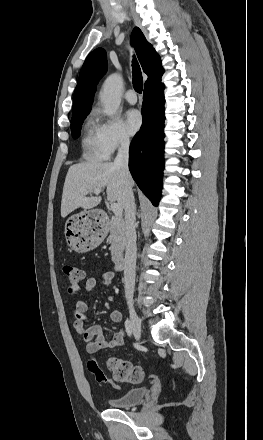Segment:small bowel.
Instances as JSON below:
<instances>
[{
    "mask_svg": "<svg viewBox=\"0 0 263 440\" xmlns=\"http://www.w3.org/2000/svg\"><path fill=\"white\" fill-rule=\"evenodd\" d=\"M115 273L108 271L102 274L101 283L106 287H111L114 283ZM98 282L97 277H89L85 281L84 290L86 295H90L94 290ZM77 288L71 289V292H75ZM114 295H109L107 301H113ZM90 303L87 299H78L74 302V329L77 334L85 341L86 350L90 354H94L101 349L120 347L124 343V330L120 329L114 334L112 339L108 340L104 337L103 331L100 325L93 324L88 326V318L86 313L88 312ZM110 320L114 323H119L122 320V313L119 310H113L110 313Z\"/></svg>",
    "mask_w": 263,
    "mask_h": 440,
    "instance_id": "c3829d8e",
    "label": "small bowel"
}]
</instances>
